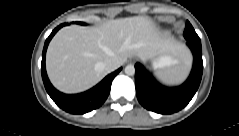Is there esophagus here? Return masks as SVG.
I'll list each match as a JSON object with an SVG mask.
<instances>
[{
  "instance_id": "esophagus-1",
  "label": "esophagus",
  "mask_w": 239,
  "mask_h": 136,
  "mask_svg": "<svg viewBox=\"0 0 239 136\" xmlns=\"http://www.w3.org/2000/svg\"><path fill=\"white\" fill-rule=\"evenodd\" d=\"M129 62H130V63H133V62H134V60H133V59H130V60H129Z\"/></svg>"
}]
</instances>
